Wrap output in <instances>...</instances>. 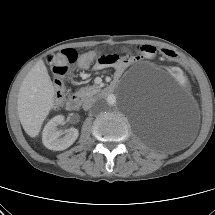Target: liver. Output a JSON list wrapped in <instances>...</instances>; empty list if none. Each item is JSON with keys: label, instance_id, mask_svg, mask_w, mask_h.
Instances as JSON below:
<instances>
[{"label": "liver", "instance_id": "obj_1", "mask_svg": "<svg viewBox=\"0 0 215 215\" xmlns=\"http://www.w3.org/2000/svg\"><path fill=\"white\" fill-rule=\"evenodd\" d=\"M55 89L43 60L25 76L18 93L17 110L24 131L35 138L54 106Z\"/></svg>", "mask_w": 215, "mask_h": 215}]
</instances>
